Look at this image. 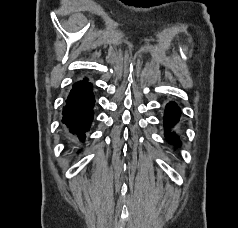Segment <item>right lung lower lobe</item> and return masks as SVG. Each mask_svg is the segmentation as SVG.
<instances>
[{
  "label": "right lung lower lobe",
  "mask_w": 238,
  "mask_h": 228,
  "mask_svg": "<svg viewBox=\"0 0 238 228\" xmlns=\"http://www.w3.org/2000/svg\"><path fill=\"white\" fill-rule=\"evenodd\" d=\"M94 95L86 80L75 83L63 108L62 122L83 141L93 120Z\"/></svg>",
  "instance_id": "98d812e1"
}]
</instances>
